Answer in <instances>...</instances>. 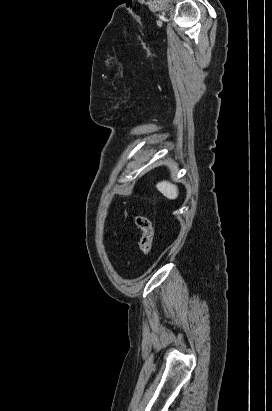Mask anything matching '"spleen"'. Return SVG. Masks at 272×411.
Returning a JSON list of instances; mask_svg holds the SVG:
<instances>
[{
  "label": "spleen",
  "mask_w": 272,
  "mask_h": 411,
  "mask_svg": "<svg viewBox=\"0 0 272 411\" xmlns=\"http://www.w3.org/2000/svg\"><path fill=\"white\" fill-rule=\"evenodd\" d=\"M156 188L161 192L165 197L170 200H175L178 197V188L176 185L171 184L167 181H162L157 183Z\"/></svg>",
  "instance_id": "1"
}]
</instances>
